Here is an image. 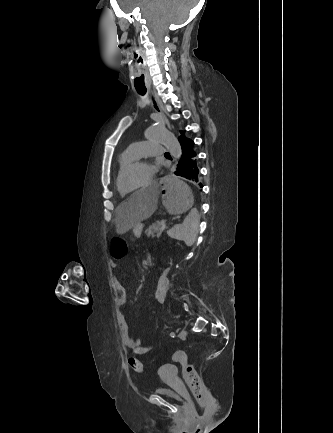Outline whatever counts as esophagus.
Returning <instances> with one entry per match:
<instances>
[{"label": "esophagus", "mask_w": 333, "mask_h": 433, "mask_svg": "<svg viewBox=\"0 0 333 433\" xmlns=\"http://www.w3.org/2000/svg\"><path fill=\"white\" fill-rule=\"evenodd\" d=\"M151 106L161 117L164 118V114H163L161 108L159 107L158 103L156 102V100L151 99Z\"/></svg>", "instance_id": "1"}]
</instances>
